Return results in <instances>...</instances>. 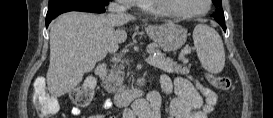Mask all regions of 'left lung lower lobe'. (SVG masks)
<instances>
[{"label":"left lung lower lobe","mask_w":273,"mask_h":118,"mask_svg":"<svg viewBox=\"0 0 273 118\" xmlns=\"http://www.w3.org/2000/svg\"><path fill=\"white\" fill-rule=\"evenodd\" d=\"M220 25L222 26L223 30L226 31V26H225V24L222 23V24H220Z\"/></svg>","instance_id":"obj_1"}]
</instances>
